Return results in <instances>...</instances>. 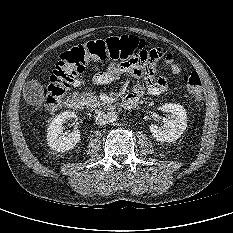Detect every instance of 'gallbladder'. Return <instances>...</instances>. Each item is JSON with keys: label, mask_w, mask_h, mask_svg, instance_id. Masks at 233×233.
<instances>
[{"label": "gallbladder", "mask_w": 233, "mask_h": 233, "mask_svg": "<svg viewBox=\"0 0 233 233\" xmlns=\"http://www.w3.org/2000/svg\"><path fill=\"white\" fill-rule=\"evenodd\" d=\"M28 92L32 95L35 96L36 98H42L43 97V87L38 84H30Z\"/></svg>", "instance_id": "1"}]
</instances>
